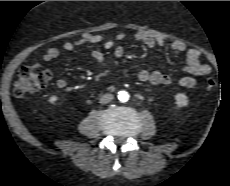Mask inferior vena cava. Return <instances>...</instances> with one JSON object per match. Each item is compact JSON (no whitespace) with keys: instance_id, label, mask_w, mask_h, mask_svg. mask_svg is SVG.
<instances>
[{"instance_id":"1","label":"inferior vena cava","mask_w":230,"mask_h":186,"mask_svg":"<svg viewBox=\"0 0 230 186\" xmlns=\"http://www.w3.org/2000/svg\"><path fill=\"white\" fill-rule=\"evenodd\" d=\"M114 96L110 93H106L100 97L99 102L101 104H107L113 100Z\"/></svg>"}]
</instances>
